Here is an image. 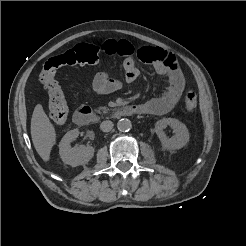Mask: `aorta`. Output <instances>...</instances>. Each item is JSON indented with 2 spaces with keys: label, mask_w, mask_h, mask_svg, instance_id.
Instances as JSON below:
<instances>
[{
  "label": "aorta",
  "mask_w": 246,
  "mask_h": 246,
  "mask_svg": "<svg viewBox=\"0 0 246 246\" xmlns=\"http://www.w3.org/2000/svg\"><path fill=\"white\" fill-rule=\"evenodd\" d=\"M131 121L127 118H122L117 122V128L121 132H127L131 129Z\"/></svg>",
  "instance_id": "obj_1"
}]
</instances>
